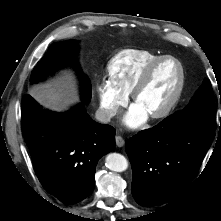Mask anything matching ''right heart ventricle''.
<instances>
[{
	"instance_id": "right-heart-ventricle-1",
	"label": "right heart ventricle",
	"mask_w": 221,
	"mask_h": 221,
	"mask_svg": "<svg viewBox=\"0 0 221 221\" xmlns=\"http://www.w3.org/2000/svg\"><path fill=\"white\" fill-rule=\"evenodd\" d=\"M161 55L142 49H126L108 63L109 80L126 94L132 92L146 67Z\"/></svg>"
}]
</instances>
